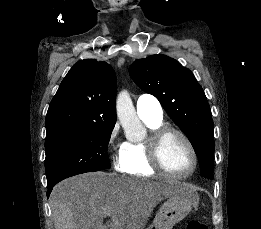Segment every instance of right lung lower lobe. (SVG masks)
Segmentation results:
<instances>
[{
	"instance_id": "1",
	"label": "right lung lower lobe",
	"mask_w": 261,
	"mask_h": 229,
	"mask_svg": "<svg viewBox=\"0 0 261 229\" xmlns=\"http://www.w3.org/2000/svg\"><path fill=\"white\" fill-rule=\"evenodd\" d=\"M47 188H48V190H47V196L49 197V195H50V193H51V191H52L53 186H50V187H47Z\"/></svg>"
}]
</instances>
